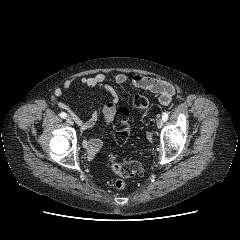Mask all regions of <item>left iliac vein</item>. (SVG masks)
I'll return each mask as SVG.
<instances>
[{
  "label": "left iliac vein",
  "instance_id": "left-iliac-vein-1",
  "mask_svg": "<svg viewBox=\"0 0 240 240\" xmlns=\"http://www.w3.org/2000/svg\"><path fill=\"white\" fill-rule=\"evenodd\" d=\"M163 125H164V120L163 119H158L157 120V127L159 128V129H161L162 127H163Z\"/></svg>",
  "mask_w": 240,
  "mask_h": 240
}]
</instances>
